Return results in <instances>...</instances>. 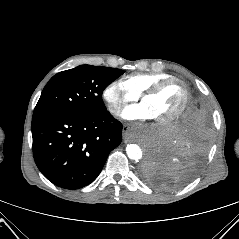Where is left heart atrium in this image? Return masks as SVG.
<instances>
[{
  "mask_svg": "<svg viewBox=\"0 0 239 239\" xmlns=\"http://www.w3.org/2000/svg\"><path fill=\"white\" fill-rule=\"evenodd\" d=\"M126 120H150L153 119L148 107L141 102L126 107L121 115Z\"/></svg>",
  "mask_w": 239,
  "mask_h": 239,
  "instance_id": "1",
  "label": "left heart atrium"
}]
</instances>
